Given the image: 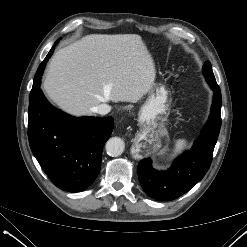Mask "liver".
<instances>
[{"label": "liver", "instance_id": "liver-1", "mask_svg": "<svg viewBox=\"0 0 247 247\" xmlns=\"http://www.w3.org/2000/svg\"><path fill=\"white\" fill-rule=\"evenodd\" d=\"M155 78V63L141 36L91 34L55 53L43 87L61 110L79 117L109 101L136 103Z\"/></svg>", "mask_w": 247, "mask_h": 247}]
</instances>
